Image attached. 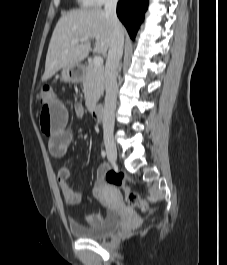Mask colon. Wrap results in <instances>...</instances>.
Instances as JSON below:
<instances>
[{
	"mask_svg": "<svg viewBox=\"0 0 227 265\" xmlns=\"http://www.w3.org/2000/svg\"><path fill=\"white\" fill-rule=\"evenodd\" d=\"M53 97L54 93L48 85H39L37 87V98L41 105V109L43 102H49ZM105 179L108 184L122 189L125 201L129 206L139 208L142 211H146L148 209L147 201L131 191L126 185L128 178L122 172L110 170L106 172Z\"/></svg>",
	"mask_w": 227,
	"mask_h": 265,
	"instance_id": "colon-1",
	"label": "colon"
}]
</instances>
